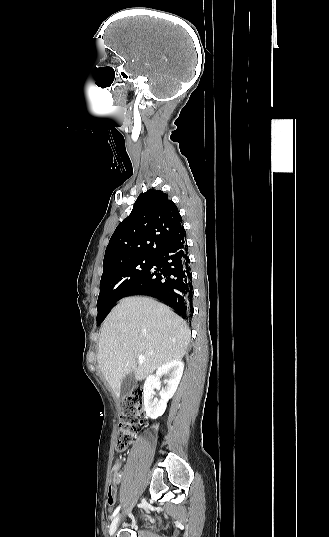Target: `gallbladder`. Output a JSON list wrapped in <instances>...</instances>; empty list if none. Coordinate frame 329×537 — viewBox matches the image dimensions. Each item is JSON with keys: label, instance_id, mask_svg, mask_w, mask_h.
<instances>
[{"label": "gallbladder", "instance_id": "obj_1", "mask_svg": "<svg viewBox=\"0 0 329 537\" xmlns=\"http://www.w3.org/2000/svg\"><path fill=\"white\" fill-rule=\"evenodd\" d=\"M136 385V379L134 372L127 374L121 382L120 394L121 397L131 394Z\"/></svg>", "mask_w": 329, "mask_h": 537}]
</instances>
